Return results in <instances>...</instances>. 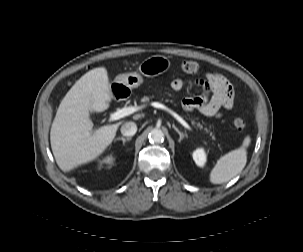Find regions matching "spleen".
<instances>
[{"label":"spleen","mask_w":303,"mask_h":252,"mask_svg":"<svg viewBox=\"0 0 303 252\" xmlns=\"http://www.w3.org/2000/svg\"><path fill=\"white\" fill-rule=\"evenodd\" d=\"M250 143V136H246L241 147L222 156L210 172V182L213 184H222L237 176L246 165L247 148Z\"/></svg>","instance_id":"obj_1"}]
</instances>
